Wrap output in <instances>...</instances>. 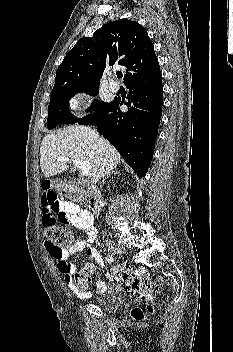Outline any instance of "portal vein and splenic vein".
I'll list each match as a JSON object with an SVG mask.
<instances>
[{
	"instance_id": "18ae733b",
	"label": "portal vein and splenic vein",
	"mask_w": 233,
	"mask_h": 352,
	"mask_svg": "<svg viewBox=\"0 0 233 352\" xmlns=\"http://www.w3.org/2000/svg\"><path fill=\"white\" fill-rule=\"evenodd\" d=\"M57 161L58 162L72 161L76 167L81 169L84 176L87 177L90 175V165L86 161H82V160H78V159H70L69 157H58Z\"/></svg>"
}]
</instances>
